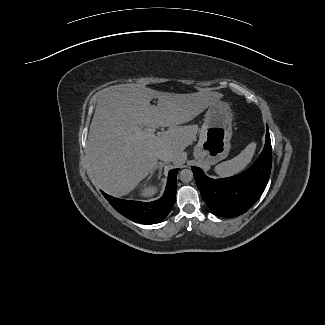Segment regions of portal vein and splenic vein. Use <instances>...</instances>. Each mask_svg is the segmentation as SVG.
Wrapping results in <instances>:
<instances>
[{
	"instance_id": "18ae733b",
	"label": "portal vein and splenic vein",
	"mask_w": 325,
	"mask_h": 325,
	"mask_svg": "<svg viewBox=\"0 0 325 325\" xmlns=\"http://www.w3.org/2000/svg\"><path fill=\"white\" fill-rule=\"evenodd\" d=\"M156 136L155 131L148 129L147 131H142L141 128H137L135 131V137L142 139H152Z\"/></svg>"
}]
</instances>
